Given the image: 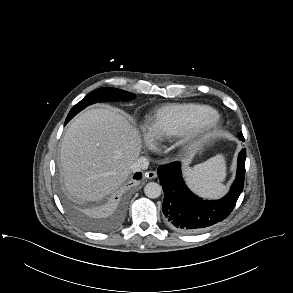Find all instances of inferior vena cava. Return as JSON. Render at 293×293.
I'll use <instances>...</instances> for the list:
<instances>
[{"instance_id": "obj_1", "label": "inferior vena cava", "mask_w": 293, "mask_h": 293, "mask_svg": "<svg viewBox=\"0 0 293 293\" xmlns=\"http://www.w3.org/2000/svg\"><path fill=\"white\" fill-rule=\"evenodd\" d=\"M149 166V160L145 156H140L131 165L130 169L133 172H139L141 170L147 169Z\"/></svg>"}]
</instances>
